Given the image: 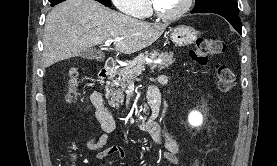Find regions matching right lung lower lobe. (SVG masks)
Instances as JSON below:
<instances>
[{
  "label": "right lung lower lobe",
  "mask_w": 277,
  "mask_h": 166,
  "mask_svg": "<svg viewBox=\"0 0 277 166\" xmlns=\"http://www.w3.org/2000/svg\"><path fill=\"white\" fill-rule=\"evenodd\" d=\"M63 1H65V0H53V1H51V6L57 5Z\"/></svg>",
  "instance_id": "98d812e1"
}]
</instances>
